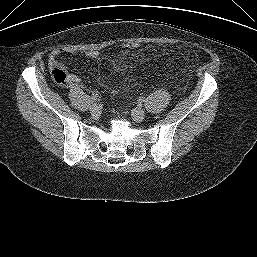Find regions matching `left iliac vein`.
<instances>
[{
    "instance_id": "1",
    "label": "left iliac vein",
    "mask_w": 257,
    "mask_h": 257,
    "mask_svg": "<svg viewBox=\"0 0 257 257\" xmlns=\"http://www.w3.org/2000/svg\"><path fill=\"white\" fill-rule=\"evenodd\" d=\"M131 115H132L133 120L136 122H141L145 118V112L141 108L133 109Z\"/></svg>"
}]
</instances>
